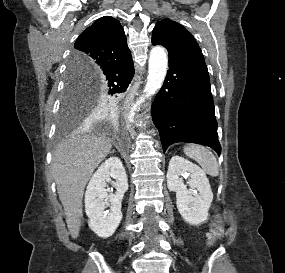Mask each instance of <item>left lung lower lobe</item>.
<instances>
[{"label": "left lung lower lobe", "instance_id": "0a47b994", "mask_svg": "<svg viewBox=\"0 0 285 273\" xmlns=\"http://www.w3.org/2000/svg\"><path fill=\"white\" fill-rule=\"evenodd\" d=\"M152 44L167 48L169 69L152 104L151 115L163 151L177 142L203 144L218 155L217 121L205 62L179 48L152 38Z\"/></svg>", "mask_w": 285, "mask_h": 273}]
</instances>
